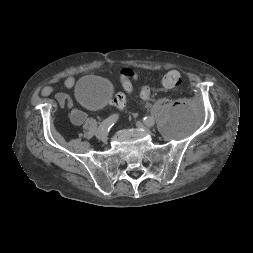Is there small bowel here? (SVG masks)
<instances>
[{"mask_svg": "<svg viewBox=\"0 0 253 253\" xmlns=\"http://www.w3.org/2000/svg\"><path fill=\"white\" fill-rule=\"evenodd\" d=\"M57 82H59L58 79H53V80L49 83V85H47L46 87H44V89L42 90L41 94H42L43 96H48V95H50L51 92H52V90H53V86H54ZM63 84H64L65 87L71 88V87H73V85L75 84V78H74L73 76H68V77H66V78L63 80ZM56 100H57L58 104H59L61 107H63V106L65 105L66 101H67V96H66V94H64V93H58V94L56 95ZM70 117H71L72 122H73L75 125H81V124L84 123V121H85V119H86V114H85L83 111H81V110L75 109V110H73V111L71 112Z\"/></svg>", "mask_w": 253, "mask_h": 253, "instance_id": "c3829d8e", "label": "small bowel"}]
</instances>
